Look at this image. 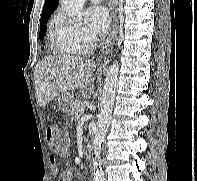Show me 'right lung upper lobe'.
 <instances>
[{
    "instance_id": "obj_1",
    "label": "right lung upper lobe",
    "mask_w": 197,
    "mask_h": 181,
    "mask_svg": "<svg viewBox=\"0 0 197 181\" xmlns=\"http://www.w3.org/2000/svg\"><path fill=\"white\" fill-rule=\"evenodd\" d=\"M59 0H45L41 16L52 14L57 8Z\"/></svg>"
}]
</instances>
